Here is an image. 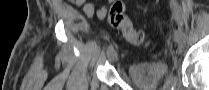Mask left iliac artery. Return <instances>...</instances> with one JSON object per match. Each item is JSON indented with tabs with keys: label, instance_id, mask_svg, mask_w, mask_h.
I'll return each instance as SVG.
<instances>
[{
	"label": "left iliac artery",
	"instance_id": "44dca946",
	"mask_svg": "<svg viewBox=\"0 0 209 90\" xmlns=\"http://www.w3.org/2000/svg\"><path fill=\"white\" fill-rule=\"evenodd\" d=\"M172 5H173V10L175 13V17L177 18V22H178V29L180 28L181 30H183V15L180 14L182 12V9L180 8V5H178V3H176L175 1H171Z\"/></svg>",
	"mask_w": 209,
	"mask_h": 90
}]
</instances>
